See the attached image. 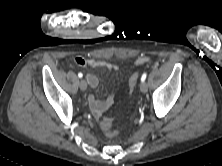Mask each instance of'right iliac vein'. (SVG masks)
I'll return each mask as SVG.
<instances>
[{
    "instance_id": "1",
    "label": "right iliac vein",
    "mask_w": 222,
    "mask_h": 166,
    "mask_svg": "<svg viewBox=\"0 0 222 166\" xmlns=\"http://www.w3.org/2000/svg\"><path fill=\"white\" fill-rule=\"evenodd\" d=\"M79 86H80V89H81L82 91H85V90L87 89V83H86V81H85L84 79H82V80L80 81Z\"/></svg>"
}]
</instances>
